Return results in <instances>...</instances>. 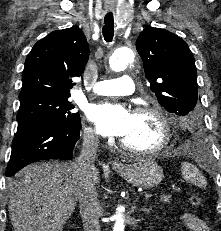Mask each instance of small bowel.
Listing matches in <instances>:
<instances>
[{"label":"small bowel","instance_id":"c3829d8e","mask_svg":"<svg viewBox=\"0 0 221 231\" xmlns=\"http://www.w3.org/2000/svg\"><path fill=\"white\" fill-rule=\"evenodd\" d=\"M183 222L192 231H209V225L194 214L185 213L183 215Z\"/></svg>","mask_w":221,"mask_h":231}]
</instances>
